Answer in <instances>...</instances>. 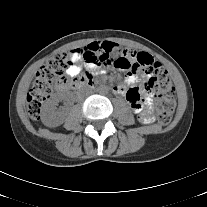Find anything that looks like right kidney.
<instances>
[{"mask_svg": "<svg viewBox=\"0 0 207 207\" xmlns=\"http://www.w3.org/2000/svg\"><path fill=\"white\" fill-rule=\"evenodd\" d=\"M60 97L55 95L52 99L47 103L44 112L42 114V122L44 125L48 127H56L61 125L65 116L62 112L56 110V105L58 104Z\"/></svg>", "mask_w": 207, "mask_h": 207, "instance_id": "obj_1", "label": "right kidney"}]
</instances>
